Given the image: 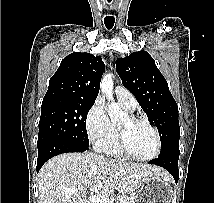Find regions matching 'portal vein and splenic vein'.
<instances>
[{
	"mask_svg": "<svg viewBox=\"0 0 214 203\" xmlns=\"http://www.w3.org/2000/svg\"><path fill=\"white\" fill-rule=\"evenodd\" d=\"M102 188V184H97V185H94L90 188V191L91 192H96L98 190H100ZM63 194H76L78 193V191L74 190V189H65L62 191ZM89 201L91 203H113L112 200H109L108 198L104 197V196H101V195H93L91 194L90 197H89Z\"/></svg>",
	"mask_w": 214,
	"mask_h": 203,
	"instance_id": "18ae733b",
	"label": "portal vein and splenic vein"
}]
</instances>
